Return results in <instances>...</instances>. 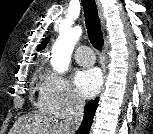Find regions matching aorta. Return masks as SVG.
Returning a JSON list of instances; mask_svg holds the SVG:
<instances>
[{"instance_id": "1", "label": "aorta", "mask_w": 153, "mask_h": 134, "mask_svg": "<svg viewBox=\"0 0 153 134\" xmlns=\"http://www.w3.org/2000/svg\"><path fill=\"white\" fill-rule=\"evenodd\" d=\"M82 30L79 26L61 32L52 48L51 65L59 73L67 71L71 54Z\"/></svg>"}]
</instances>
